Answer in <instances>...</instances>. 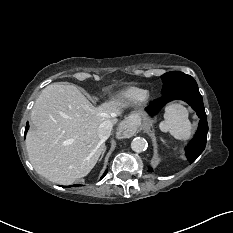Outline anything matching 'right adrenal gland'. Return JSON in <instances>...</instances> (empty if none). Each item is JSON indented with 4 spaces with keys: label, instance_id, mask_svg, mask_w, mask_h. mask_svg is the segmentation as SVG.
I'll list each match as a JSON object with an SVG mask.
<instances>
[{
    "label": "right adrenal gland",
    "instance_id": "1",
    "mask_svg": "<svg viewBox=\"0 0 233 233\" xmlns=\"http://www.w3.org/2000/svg\"><path fill=\"white\" fill-rule=\"evenodd\" d=\"M105 151H106V147H104L103 152H102V154H101V157H100L99 161L102 160V158H103V156H104V154H105Z\"/></svg>",
    "mask_w": 233,
    "mask_h": 233
}]
</instances>
